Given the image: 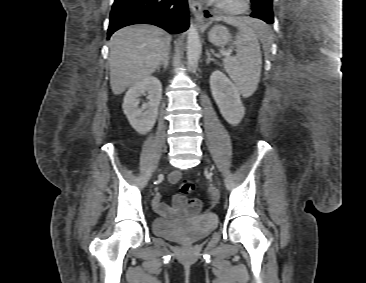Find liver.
I'll list each match as a JSON object with an SVG mask.
<instances>
[{"instance_id": "obj_1", "label": "liver", "mask_w": 366, "mask_h": 283, "mask_svg": "<svg viewBox=\"0 0 366 283\" xmlns=\"http://www.w3.org/2000/svg\"><path fill=\"white\" fill-rule=\"evenodd\" d=\"M171 36L163 29L138 24L116 31L110 41V85L116 95L155 72L170 50Z\"/></svg>"}]
</instances>
